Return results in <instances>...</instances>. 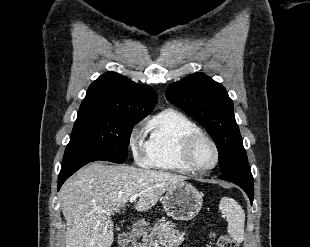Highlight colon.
Segmentation results:
<instances>
[{"label": "colon", "mask_w": 310, "mask_h": 247, "mask_svg": "<svg viewBox=\"0 0 310 247\" xmlns=\"http://www.w3.org/2000/svg\"><path fill=\"white\" fill-rule=\"evenodd\" d=\"M217 247H238L237 243L228 235L220 234L216 238Z\"/></svg>", "instance_id": "obj_1"}]
</instances>
